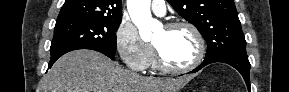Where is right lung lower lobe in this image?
Masks as SVG:
<instances>
[{
    "label": "right lung lower lobe",
    "instance_id": "right-lung-lower-lobe-1",
    "mask_svg": "<svg viewBox=\"0 0 289 92\" xmlns=\"http://www.w3.org/2000/svg\"><path fill=\"white\" fill-rule=\"evenodd\" d=\"M101 52V51H99ZM103 53L104 55L108 56L109 58H111L112 60H114V55L113 54H109L107 52H101ZM57 59H50V62H49V65H48V69L51 68V66L55 63Z\"/></svg>",
    "mask_w": 289,
    "mask_h": 92
}]
</instances>
